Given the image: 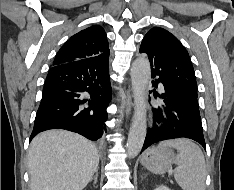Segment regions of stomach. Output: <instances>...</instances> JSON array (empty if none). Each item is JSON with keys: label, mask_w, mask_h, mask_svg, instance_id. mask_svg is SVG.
I'll list each match as a JSON object with an SVG mask.
<instances>
[{"label": "stomach", "mask_w": 234, "mask_h": 190, "mask_svg": "<svg viewBox=\"0 0 234 190\" xmlns=\"http://www.w3.org/2000/svg\"><path fill=\"white\" fill-rule=\"evenodd\" d=\"M173 150L167 146H155L148 149L141 157L142 165L155 174H163L175 162Z\"/></svg>", "instance_id": "1"}]
</instances>
